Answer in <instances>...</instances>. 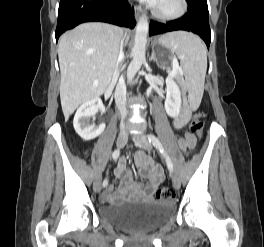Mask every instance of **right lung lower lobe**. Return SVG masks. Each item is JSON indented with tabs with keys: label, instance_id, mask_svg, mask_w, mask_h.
<instances>
[{
	"label": "right lung lower lobe",
	"instance_id": "98d812e1",
	"mask_svg": "<svg viewBox=\"0 0 264 247\" xmlns=\"http://www.w3.org/2000/svg\"><path fill=\"white\" fill-rule=\"evenodd\" d=\"M107 22L134 28V9L127 0H60L55 37L84 22Z\"/></svg>",
	"mask_w": 264,
	"mask_h": 247
}]
</instances>
